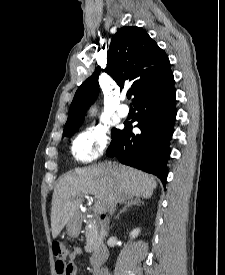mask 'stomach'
Returning <instances> with one entry per match:
<instances>
[{
  "label": "stomach",
  "mask_w": 225,
  "mask_h": 275,
  "mask_svg": "<svg viewBox=\"0 0 225 275\" xmlns=\"http://www.w3.org/2000/svg\"><path fill=\"white\" fill-rule=\"evenodd\" d=\"M80 230V224L76 219H72L67 223V233L71 237H76Z\"/></svg>",
  "instance_id": "1"
}]
</instances>
